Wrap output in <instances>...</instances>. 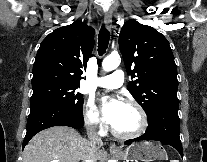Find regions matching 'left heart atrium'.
Here are the masks:
<instances>
[{"label": "left heart atrium", "mask_w": 207, "mask_h": 162, "mask_svg": "<svg viewBox=\"0 0 207 162\" xmlns=\"http://www.w3.org/2000/svg\"><path fill=\"white\" fill-rule=\"evenodd\" d=\"M121 104L122 102L117 99H112L108 103H102V114L107 123L112 125Z\"/></svg>", "instance_id": "obj_1"}]
</instances>
